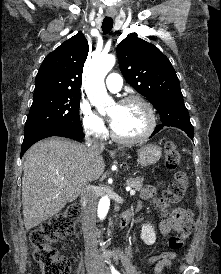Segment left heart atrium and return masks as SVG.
Wrapping results in <instances>:
<instances>
[{"mask_svg":"<svg viewBox=\"0 0 221 274\" xmlns=\"http://www.w3.org/2000/svg\"><path fill=\"white\" fill-rule=\"evenodd\" d=\"M111 124H113V120L111 119Z\"/></svg>","mask_w":221,"mask_h":274,"instance_id":"39dd6f15","label":"left heart atrium"}]
</instances>
